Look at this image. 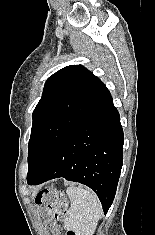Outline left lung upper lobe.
Wrapping results in <instances>:
<instances>
[{
    "label": "left lung upper lobe",
    "mask_w": 155,
    "mask_h": 235,
    "mask_svg": "<svg viewBox=\"0 0 155 235\" xmlns=\"http://www.w3.org/2000/svg\"><path fill=\"white\" fill-rule=\"evenodd\" d=\"M107 90L98 77L81 65L66 66L48 78L33 111L27 176L39 171L61 140Z\"/></svg>",
    "instance_id": "obj_1"
}]
</instances>
